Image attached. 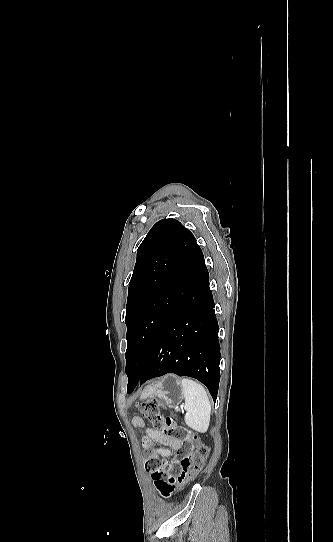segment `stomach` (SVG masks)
I'll list each match as a JSON object with an SVG mask.
<instances>
[{
	"instance_id": "obj_1",
	"label": "stomach",
	"mask_w": 333,
	"mask_h": 542,
	"mask_svg": "<svg viewBox=\"0 0 333 542\" xmlns=\"http://www.w3.org/2000/svg\"><path fill=\"white\" fill-rule=\"evenodd\" d=\"M141 398H159L168 408H178L184 400L181 380L174 374H167L146 386Z\"/></svg>"
}]
</instances>
